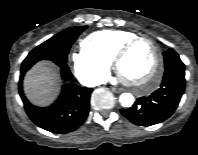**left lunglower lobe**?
I'll list each match as a JSON object with an SVG mask.
<instances>
[{"label":"left lung lower lobe","mask_w":198,"mask_h":155,"mask_svg":"<svg viewBox=\"0 0 198 155\" xmlns=\"http://www.w3.org/2000/svg\"><path fill=\"white\" fill-rule=\"evenodd\" d=\"M184 66L174 65L165 70L161 86L148 97L139 98L131 108L121 109L132 123L150 126L168 119L184 93Z\"/></svg>","instance_id":"1"}]
</instances>
